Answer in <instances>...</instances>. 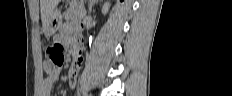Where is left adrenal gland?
<instances>
[{
  "label": "left adrenal gland",
  "instance_id": "obj_1",
  "mask_svg": "<svg viewBox=\"0 0 232 96\" xmlns=\"http://www.w3.org/2000/svg\"><path fill=\"white\" fill-rule=\"evenodd\" d=\"M91 11H92V6H90V9H89V14L91 13Z\"/></svg>",
  "mask_w": 232,
  "mask_h": 96
}]
</instances>
